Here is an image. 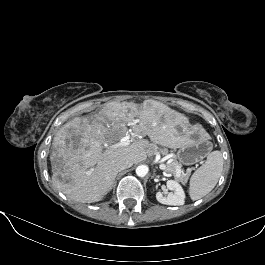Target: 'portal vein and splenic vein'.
<instances>
[{
  "instance_id": "18ae733b",
  "label": "portal vein and splenic vein",
  "mask_w": 265,
  "mask_h": 265,
  "mask_svg": "<svg viewBox=\"0 0 265 265\" xmlns=\"http://www.w3.org/2000/svg\"><path fill=\"white\" fill-rule=\"evenodd\" d=\"M131 142H132V141H131L130 137H129V136H125V137H123L122 139H120V141H119L118 143L112 145V147H113V148H117V147H121V146H129V145L131 144ZM159 167H160L161 170H166L167 165H165V164H160ZM180 173H181V171L178 170V171H177V176H180Z\"/></svg>"
}]
</instances>
